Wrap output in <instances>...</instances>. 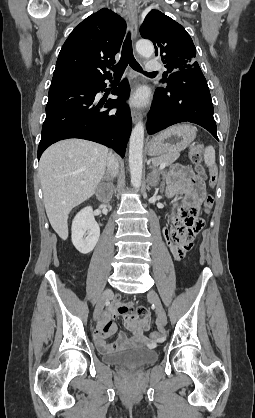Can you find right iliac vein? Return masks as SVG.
<instances>
[{
    "mask_svg": "<svg viewBox=\"0 0 255 418\" xmlns=\"http://www.w3.org/2000/svg\"><path fill=\"white\" fill-rule=\"evenodd\" d=\"M112 295V290L111 289H107L103 295L101 296V298L99 299L95 310H94V319L97 320L99 318V316L101 315V312L104 308L105 303L110 299Z\"/></svg>",
    "mask_w": 255,
    "mask_h": 418,
    "instance_id": "63e3f726",
    "label": "right iliac vein"
}]
</instances>
